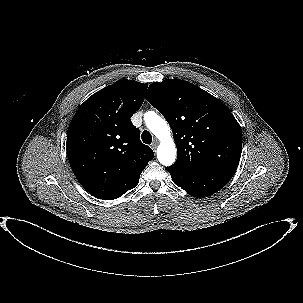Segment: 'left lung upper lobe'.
Listing matches in <instances>:
<instances>
[{
  "instance_id": "left-lung-upper-lobe-1",
  "label": "left lung upper lobe",
  "mask_w": 303,
  "mask_h": 303,
  "mask_svg": "<svg viewBox=\"0 0 303 303\" xmlns=\"http://www.w3.org/2000/svg\"><path fill=\"white\" fill-rule=\"evenodd\" d=\"M146 99L172 128L177 146V160L172 166L189 171H236L242 129L219 99L179 79L152 83Z\"/></svg>"
}]
</instances>
